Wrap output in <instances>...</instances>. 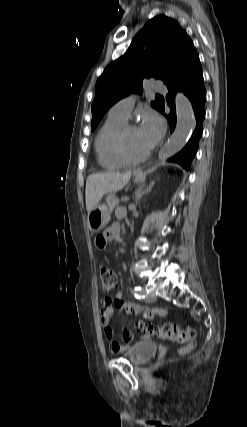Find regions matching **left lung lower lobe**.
Here are the masks:
<instances>
[{
    "label": "left lung lower lobe",
    "mask_w": 247,
    "mask_h": 427,
    "mask_svg": "<svg viewBox=\"0 0 247 427\" xmlns=\"http://www.w3.org/2000/svg\"><path fill=\"white\" fill-rule=\"evenodd\" d=\"M166 86L169 90L166 96L167 105L171 108V112L168 116L165 115V117L169 122L171 132L175 129L177 121L175 109V94L177 91H182L189 98L194 110L196 126L191 138L185 147L170 159L171 162H176L184 168L189 169L191 160L198 149V142L203 131L202 123L205 118L204 104L206 101V91L199 56L193 60L181 75ZM159 111L164 113V105H161Z\"/></svg>",
    "instance_id": "left-lung-lower-lobe-1"
}]
</instances>
